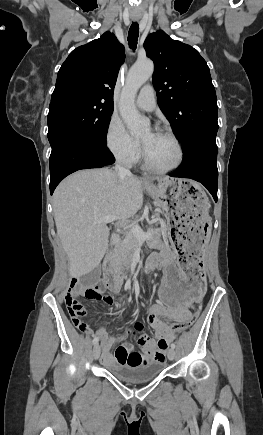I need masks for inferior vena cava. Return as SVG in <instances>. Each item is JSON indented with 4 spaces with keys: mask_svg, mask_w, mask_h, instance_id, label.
Listing matches in <instances>:
<instances>
[{
    "mask_svg": "<svg viewBox=\"0 0 263 435\" xmlns=\"http://www.w3.org/2000/svg\"><path fill=\"white\" fill-rule=\"evenodd\" d=\"M115 173L119 176V177H125L128 175H131L130 170L124 168L120 163H117L115 165Z\"/></svg>",
    "mask_w": 263,
    "mask_h": 435,
    "instance_id": "obj_1",
    "label": "inferior vena cava"
}]
</instances>
